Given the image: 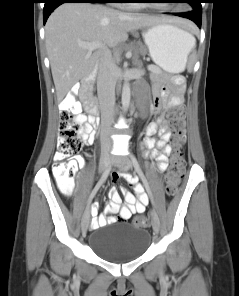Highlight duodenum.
Returning <instances> with one entry per match:
<instances>
[{
  "label": "duodenum",
  "instance_id": "obj_1",
  "mask_svg": "<svg viewBox=\"0 0 239 296\" xmlns=\"http://www.w3.org/2000/svg\"><path fill=\"white\" fill-rule=\"evenodd\" d=\"M97 69L94 68L90 74L80 83L82 89V99L86 110L90 114V121L94 128L99 126V108L91 95V88L95 81Z\"/></svg>",
  "mask_w": 239,
  "mask_h": 296
}]
</instances>
